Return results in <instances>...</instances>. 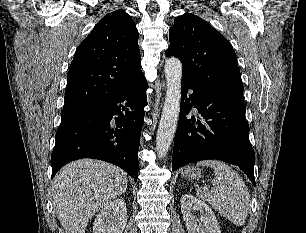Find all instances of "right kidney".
I'll use <instances>...</instances> for the list:
<instances>
[{"label": "right kidney", "mask_w": 306, "mask_h": 233, "mask_svg": "<svg viewBox=\"0 0 306 233\" xmlns=\"http://www.w3.org/2000/svg\"><path fill=\"white\" fill-rule=\"evenodd\" d=\"M127 223V208L123 199L107 204L97 215L93 233H123Z\"/></svg>", "instance_id": "ca27d5eb"}]
</instances>
